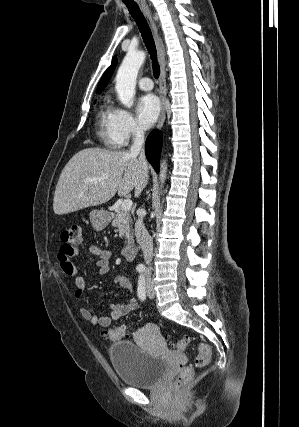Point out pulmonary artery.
<instances>
[{"label":"pulmonary artery","instance_id":"e3ab8cb5","mask_svg":"<svg viewBox=\"0 0 299 427\" xmlns=\"http://www.w3.org/2000/svg\"><path fill=\"white\" fill-rule=\"evenodd\" d=\"M138 86L144 91H149L153 88V82L149 77H142L138 81Z\"/></svg>","mask_w":299,"mask_h":427}]
</instances>
